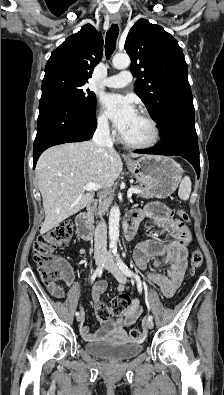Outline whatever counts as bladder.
Returning <instances> with one entry per match:
<instances>
[{"label":"bladder","mask_w":224,"mask_h":395,"mask_svg":"<svg viewBox=\"0 0 224 395\" xmlns=\"http://www.w3.org/2000/svg\"><path fill=\"white\" fill-rule=\"evenodd\" d=\"M85 350L94 356L109 361H124L137 356L143 351V344L137 341L111 342L96 341L86 343Z\"/></svg>","instance_id":"obj_1"}]
</instances>
